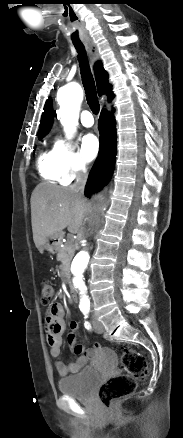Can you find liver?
I'll return each instance as SVG.
<instances>
[{
    "mask_svg": "<svg viewBox=\"0 0 183 438\" xmlns=\"http://www.w3.org/2000/svg\"><path fill=\"white\" fill-rule=\"evenodd\" d=\"M86 200L70 188L40 183L31 196V223L35 246L42 251L50 236L67 228L72 234L82 230Z\"/></svg>",
    "mask_w": 183,
    "mask_h": 438,
    "instance_id": "obj_1",
    "label": "liver"
}]
</instances>
